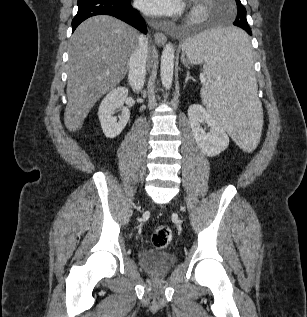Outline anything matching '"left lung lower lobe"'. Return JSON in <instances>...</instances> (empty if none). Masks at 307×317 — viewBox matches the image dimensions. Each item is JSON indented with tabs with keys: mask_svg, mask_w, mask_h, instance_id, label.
<instances>
[{
	"mask_svg": "<svg viewBox=\"0 0 307 317\" xmlns=\"http://www.w3.org/2000/svg\"><path fill=\"white\" fill-rule=\"evenodd\" d=\"M240 28L245 30L249 35H252L250 27L242 26ZM226 43L229 48L240 52L248 45L249 41L246 36H237V37L233 36V37H228L226 39Z\"/></svg>",
	"mask_w": 307,
	"mask_h": 317,
	"instance_id": "1",
	"label": "left lung lower lobe"
}]
</instances>
